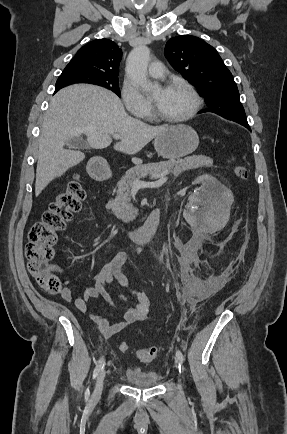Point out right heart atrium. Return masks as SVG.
I'll list each match as a JSON object with an SVG mask.
<instances>
[{"mask_svg": "<svg viewBox=\"0 0 287 434\" xmlns=\"http://www.w3.org/2000/svg\"><path fill=\"white\" fill-rule=\"evenodd\" d=\"M121 96L127 110L135 116L147 117L152 113V105L139 91L129 82H124L121 89Z\"/></svg>", "mask_w": 287, "mask_h": 434, "instance_id": "d8ad5b80", "label": "right heart atrium"}]
</instances>
